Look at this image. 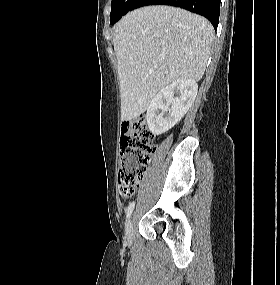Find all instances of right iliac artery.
Returning <instances> with one entry per match:
<instances>
[{
    "mask_svg": "<svg viewBox=\"0 0 280 285\" xmlns=\"http://www.w3.org/2000/svg\"><path fill=\"white\" fill-rule=\"evenodd\" d=\"M134 205H135L134 202H131V203L129 204V206H128L127 210H126V217H127V218L131 215V213H132V211H133V209H134Z\"/></svg>",
    "mask_w": 280,
    "mask_h": 285,
    "instance_id": "right-iliac-artery-1",
    "label": "right iliac artery"
}]
</instances>
